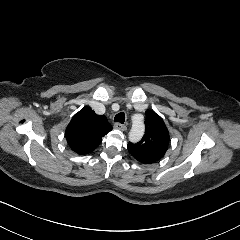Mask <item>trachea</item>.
Segmentation results:
<instances>
[{"instance_id": "3493384b", "label": "trachea", "mask_w": 240, "mask_h": 240, "mask_svg": "<svg viewBox=\"0 0 240 240\" xmlns=\"http://www.w3.org/2000/svg\"><path fill=\"white\" fill-rule=\"evenodd\" d=\"M124 121H125V114L123 112L118 113L114 117V122H119V123L123 124Z\"/></svg>"}]
</instances>
